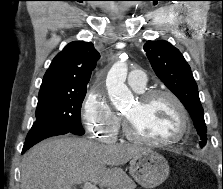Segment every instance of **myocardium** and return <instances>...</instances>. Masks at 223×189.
<instances>
[{
  "label": "myocardium",
  "mask_w": 223,
  "mask_h": 189,
  "mask_svg": "<svg viewBox=\"0 0 223 189\" xmlns=\"http://www.w3.org/2000/svg\"><path fill=\"white\" fill-rule=\"evenodd\" d=\"M168 97L176 106L180 114V129L176 136L172 138L153 139L138 134L133 126L132 121L128 117H124V131L126 136L136 143L148 144L153 146H168L181 141L187 134L190 128V117L188 110L182 100L172 91L165 89H154L141 93L138 97V102L145 104L157 97Z\"/></svg>",
  "instance_id": "1"
}]
</instances>
